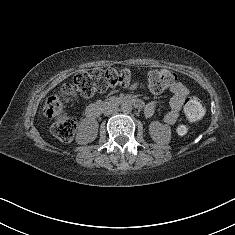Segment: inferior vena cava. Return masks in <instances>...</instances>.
Instances as JSON below:
<instances>
[{"label": "inferior vena cava", "mask_w": 235, "mask_h": 235, "mask_svg": "<svg viewBox=\"0 0 235 235\" xmlns=\"http://www.w3.org/2000/svg\"><path fill=\"white\" fill-rule=\"evenodd\" d=\"M113 112V110H109V111H106L105 113L106 114H111Z\"/></svg>", "instance_id": "602c4592"}]
</instances>
